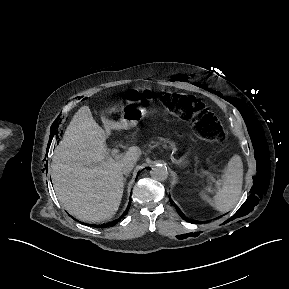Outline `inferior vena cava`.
<instances>
[{
	"instance_id": "inferior-vena-cava-1",
	"label": "inferior vena cava",
	"mask_w": 289,
	"mask_h": 289,
	"mask_svg": "<svg viewBox=\"0 0 289 289\" xmlns=\"http://www.w3.org/2000/svg\"><path fill=\"white\" fill-rule=\"evenodd\" d=\"M136 161H125L120 165V170L123 174H128L133 169Z\"/></svg>"
}]
</instances>
